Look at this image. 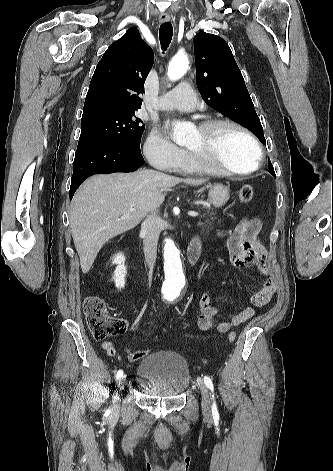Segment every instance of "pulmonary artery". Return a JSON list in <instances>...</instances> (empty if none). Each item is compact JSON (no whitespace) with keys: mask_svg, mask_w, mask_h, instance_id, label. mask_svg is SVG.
<instances>
[{"mask_svg":"<svg viewBox=\"0 0 333 471\" xmlns=\"http://www.w3.org/2000/svg\"><path fill=\"white\" fill-rule=\"evenodd\" d=\"M197 104L195 93L187 82L178 84L174 89L158 99L157 107L161 110L192 111Z\"/></svg>","mask_w":333,"mask_h":471,"instance_id":"pulmonary-artery-1","label":"pulmonary artery"}]
</instances>
